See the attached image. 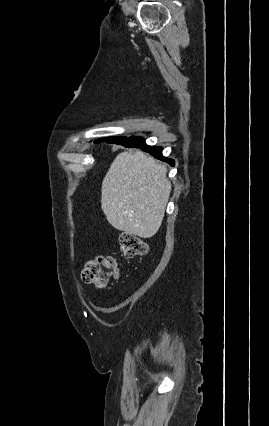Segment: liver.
I'll use <instances>...</instances> for the list:
<instances>
[{
  "mask_svg": "<svg viewBox=\"0 0 269 426\" xmlns=\"http://www.w3.org/2000/svg\"><path fill=\"white\" fill-rule=\"evenodd\" d=\"M167 168L142 151L119 153L102 182L101 208L126 234L151 238L159 230L171 192Z\"/></svg>",
  "mask_w": 269,
  "mask_h": 426,
  "instance_id": "liver-1",
  "label": "liver"
}]
</instances>
